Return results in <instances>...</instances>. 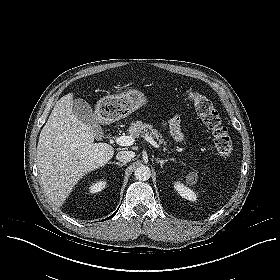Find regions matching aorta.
<instances>
[{
	"label": "aorta",
	"mask_w": 280,
	"mask_h": 280,
	"mask_svg": "<svg viewBox=\"0 0 280 280\" xmlns=\"http://www.w3.org/2000/svg\"><path fill=\"white\" fill-rule=\"evenodd\" d=\"M134 175L137 180L146 181L150 178L151 171L148 166L140 165L136 168Z\"/></svg>",
	"instance_id": "1"
}]
</instances>
